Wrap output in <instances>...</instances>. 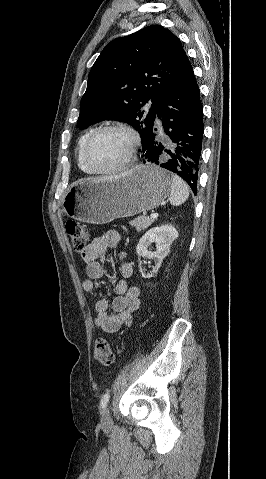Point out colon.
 Listing matches in <instances>:
<instances>
[{
	"mask_svg": "<svg viewBox=\"0 0 266 479\" xmlns=\"http://www.w3.org/2000/svg\"><path fill=\"white\" fill-rule=\"evenodd\" d=\"M65 229L73 249L78 253H82L89 241L88 229L75 221H68ZM94 356L100 364L111 366L114 363L116 353L111 349L107 340L100 338L95 342Z\"/></svg>",
	"mask_w": 266,
	"mask_h": 479,
	"instance_id": "5ec220e1",
	"label": "colon"
}]
</instances>
